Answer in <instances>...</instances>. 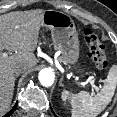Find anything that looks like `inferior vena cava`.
I'll list each match as a JSON object with an SVG mask.
<instances>
[{
    "label": "inferior vena cava",
    "instance_id": "obj_1",
    "mask_svg": "<svg viewBox=\"0 0 117 117\" xmlns=\"http://www.w3.org/2000/svg\"><path fill=\"white\" fill-rule=\"evenodd\" d=\"M26 69V67H18L17 68V75L22 71V70H25Z\"/></svg>",
    "mask_w": 117,
    "mask_h": 117
}]
</instances>
